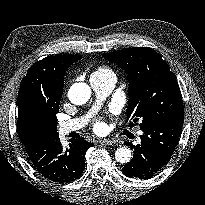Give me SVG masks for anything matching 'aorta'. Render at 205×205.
Here are the masks:
<instances>
[{
    "instance_id": "obj_1",
    "label": "aorta",
    "mask_w": 205,
    "mask_h": 205,
    "mask_svg": "<svg viewBox=\"0 0 205 205\" xmlns=\"http://www.w3.org/2000/svg\"><path fill=\"white\" fill-rule=\"evenodd\" d=\"M90 97L91 88L86 83H74L68 91V98L75 105L87 103ZM131 158V151L127 147H120L115 151V159L122 164L128 163Z\"/></svg>"
}]
</instances>
